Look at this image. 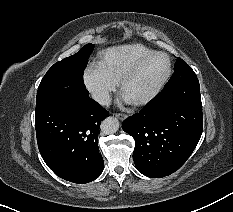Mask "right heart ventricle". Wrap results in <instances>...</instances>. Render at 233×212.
I'll use <instances>...</instances> for the list:
<instances>
[{
	"label": "right heart ventricle",
	"instance_id": "1",
	"mask_svg": "<svg viewBox=\"0 0 233 212\" xmlns=\"http://www.w3.org/2000/svg\"><path fill=\"white\" fill-rule=\"evenodd\" d=\"M151 52L152 49L138 43L116 46L100 53L99 64L109 76L119 82L140 58Z\"/></svg>",
	"mask_w": 233,
	"mask_h": 212
}]
</instances>
